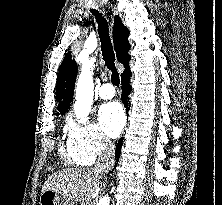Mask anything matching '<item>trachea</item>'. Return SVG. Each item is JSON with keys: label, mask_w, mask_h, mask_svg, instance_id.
<instances>
[{"label": "trachea", "mask_w": 222, "mask_h": 205, "mask_svg": "<svg viewBox=\"0 0 222 205\" xmlns=\"http://www.w3.org/2000/svg\"><path fill=\"white\" fill-rule=\"evenodd\" d=\"M91 13L96 17V21L98 23L101 51L105 61V65L112 72L111 81L113 85L118 87L120 84V78H119V73L115 67V54L113 51V46L109 35L108 22L102 16V14L98 12V10L92 9Z\"/></svg>", "instance_id": "1"}]
</instances>
